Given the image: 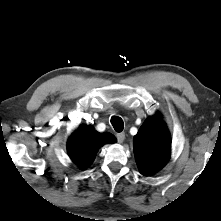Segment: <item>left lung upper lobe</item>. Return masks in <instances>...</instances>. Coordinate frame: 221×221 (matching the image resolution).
Returning a JSON list of instances; mask_svg holds the SVG:
<instances>
[{"label": "left lung upper lobe", "instance_id": "1", "mask_svg": "<svg viewBox=\"0 0 221 221\" xmlns=\"http://www.w3.org/2000/svg\"><path fill=\"white\" fill-rule=\"evenodd\" d=\"M171 139L165 123L158 116L149 117L134 137L136 162L148 176L162 168L170 157Z\"/></svg>", "mask_w": 221, "mask_h": 221}]
</instances>
